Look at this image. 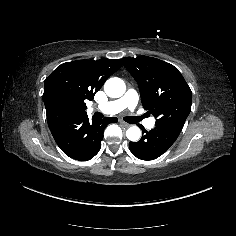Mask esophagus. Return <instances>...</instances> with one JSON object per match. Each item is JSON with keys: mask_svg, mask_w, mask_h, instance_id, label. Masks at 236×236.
Masks as SVG:
<instances>
[{"mask_svg": "<svg viewBox=\"0 0 236 236\" xmlns=\"http://www.w3.org/2000/svg\"><path fill=\"white\" fill-rule=\"evenodd\" d=\"M119 123H121V124L124 125L125 127H129V126H130L129 123H126V122L123 121V120H119Z\"/></svg>", "mask_w": 236, "mask_h": 236, "instance_id": "1", "label": "esophagus"}]
</instances>
